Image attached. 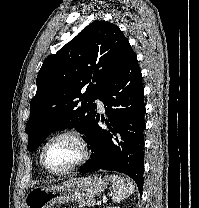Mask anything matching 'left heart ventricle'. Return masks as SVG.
Here are the masks:
<instances>
[{"mask_svg":"<svg viewBox=\"0 0 199 208\" xmlns=\"http://www.w3.org/2000/svg\"><path fill=\"white\" fill-rule=\"evenodd\" d=\"M46 160L48 165L53 169H63L74 162L81 156L79 144L70 137H62L53 140L46 149Z\"/></svg>","mask_w":199,"mask_h":208,"instance_id":"obj_1","label":"left heart ventricle"}]
</instances>
